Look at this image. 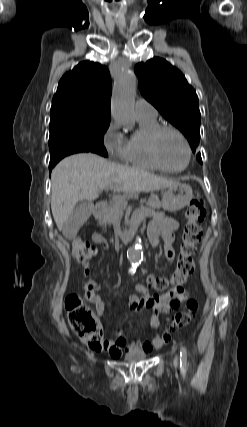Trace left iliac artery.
<instances>
[{"instance_id": "left-iliac-artery-1", "label": "left iliac artery", "mask_w": 247, "mask_h": 427, "mask_svg": "<svg viewBox=\"0 0 247 427\" xmlns=\"http://www.w3.org/2000/svg\"><path fill=\"white\" fill-rule=\"evenodd\" d=\"M187 364V351L185 347H181L180 349V366L182 369H185Z\"/></svg>"}]
</instances>
